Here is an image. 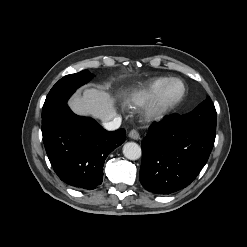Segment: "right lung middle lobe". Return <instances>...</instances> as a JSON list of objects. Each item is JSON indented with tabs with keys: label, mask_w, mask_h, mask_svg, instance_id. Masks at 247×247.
Masks as SVG:
<instances>
[{
	"label": "right lung middle lobe",
	"mask_w": 247,
	"mask_h": 247,
	"mask_svg": "<svg viewBox=\"0 0 247 247\" xmlns=\"http://www.w3.org/2000/svg\"><path fill=\"white\" fill-rule=\"evenodd\" d=\"M93 76L88 70H83L60 79L47 95L42 109V116L67 105V100L76 89L87 83Z\"/></svg>",
	"instance_id": "dd1d6c3e"
}]
</instances>
